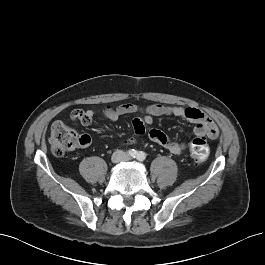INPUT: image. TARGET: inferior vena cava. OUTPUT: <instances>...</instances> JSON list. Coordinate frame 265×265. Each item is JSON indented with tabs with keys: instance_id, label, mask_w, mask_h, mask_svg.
Instances as JSON below:
<instances>
[{
	"instance_id": "obj_1",
	"label": "inferior vena cava",
	"mask_w": 265,
	"mask_h": 265,
	"mask_svg": "<svg viewBox=\"0 0 265 265\" xmlns=\"http://www.w3.org/2000/svg\"><path fill=\"white\" fill-rule=\"evenodd\" d=\"M127 158V154L121 150H117L113 154V160L114 162H119Z\"/></svg>"
}]
</instances>
